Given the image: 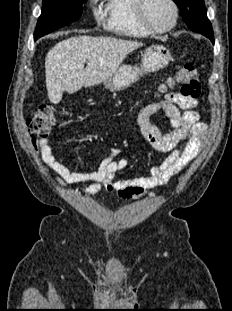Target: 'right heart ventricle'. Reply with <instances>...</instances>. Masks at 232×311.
<instances>
[{
	"label": "right heart ventricle",
	"mask_w": 232,
	"mask_h": 311,
	"mask_svg": "<svg viewBox=\"0 0 232 311\" xmlns=\"http://www.w3.org/2000/svg\"><path fill=\"white\" fill-rule=\"evenodd\" d=\"M134 0H107L105 5V27L126 37H144L150 34L137 22Z\"/></svg>",
	"instance_id": "1"
}]
</instances>
